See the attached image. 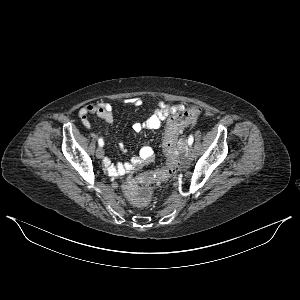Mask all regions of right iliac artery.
Listing matches in <instances>:
<instances>
[{
	"mask_svg": "<svg viewBox=\"0 0 300 300\" xmlns=\"http://www.w3.org/2000/svg\"><path fill=\"white\" fill-rule=\"evenodd\" d=\"M98 144H99L100 147H103L104 141H103L102 138H100V139L98 140Z\"/></svg>",
	"mask_w": 300,
	"mask_h": 300,
	"instance_id": "1",
	"label": "right iliac artery"
}]
</instances>
